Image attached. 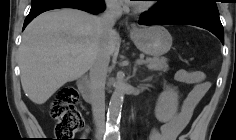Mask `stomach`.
<instances>
[{
    "instance_id": "obj_1",
    "label": "stomach",
    "mask_w": 236,
    "mask_h": 140,
    "mask_svg": "<svg viewBox=\"0 0 236 140\" xmlns=\"http://www.w3.org/2000/svg\"><path fill=\"white\" fill-rule=\"evenodd\" d=\"M130 37L140 51L154 57L164 55L172 46V37L162 26L136 28Z\"/></svg>"
}]
</instances>
